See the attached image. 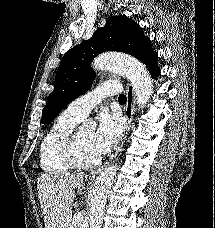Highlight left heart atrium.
Returning <instances> with one entry per match:
<instances>
[{
  "label": "left heart atrium",
  "instance_id": "1",
  "mask_svg": "<svg viewBox=\"0 0 215 228\" xmlns=\"http://www.w3.org/2000/svg\"><path fill=\"white\" fill-rule=\"evenodd\" d=\"M122 125L118 116L102 112L99 115L98 127L94 133L92 144L96 154H106L119 140Z\"/></svg>",
  "mask_w": 215,
  "mask_h": 228
}]
</instances>
